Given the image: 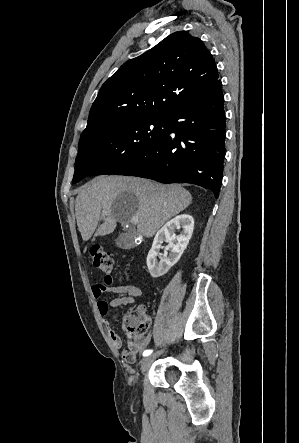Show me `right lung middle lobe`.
Wrapping results in <instances>:
<instances>
[{"label":"right lung middle lobe","instance_id":"right-lung-middle-lobe-1","mask_svg":"<svg viewBox=\"0 0 299 443\" xmlns=\"http://www.w3.org/2000/svg\"><path fill=\"white\" fill-rule=\"evenodd\" d=\"M166 116L136 118L95 131L79 141L73 183L110 175L139 160L165 136Z\"/></svg>","mask_w":299,"mask_h":443}]
</instances>
